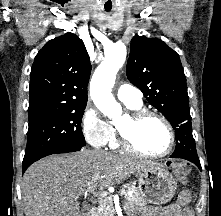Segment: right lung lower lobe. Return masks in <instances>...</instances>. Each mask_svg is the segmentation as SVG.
<instances>
[{"instance_id": "1", "label": "right lung lower lobe", "mask_w": 221, "mask_h": 216, "mask_svg": "<svg viewBox=\"0 0 221 216\" xmlns=\"http://www.w3.org/2000/svg\"><path fill=\"white\" fill-rule=\"evenodd\" d=\"M81 148L80 147H71V148H64V149H60V150H56V151H53L51 153H48L46 154L45 156H48V155H51V154H58V153H68V152H75V151H79ZM43 156V157H45ZM41 157V158H43ZM40 158V159H41ZM39 160V159H38ZM37 161V160H36ZM35 161L33 162H29V163H25L23 164L22 166V173H24L26 171V169L32 164L34 163Z\"/></svg>"}]
</instances>
